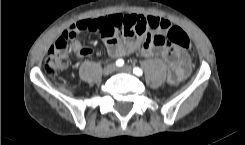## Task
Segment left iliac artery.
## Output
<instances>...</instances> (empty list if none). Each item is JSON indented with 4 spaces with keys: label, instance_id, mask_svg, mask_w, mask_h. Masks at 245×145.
Returning a JSON list of instances; mask_svg holds the SVG:
<instances>
[{
    "label": "left iliac artery",
    "instance_id": "left-iliac-artery-1",
    "mask_svg": "<svg viewBox=\"0 0 245 145\" xmlns=\"http://www.w3.org/2000/svg\"><path fill=\"white\" fill-rule=\"evenodd\" d=\"M133 73L138 76H141L143 74V71L139 67H134Z\"/></svg>",
    "mask_w": 245,
    "mask_h": 145
}]
</instances>
